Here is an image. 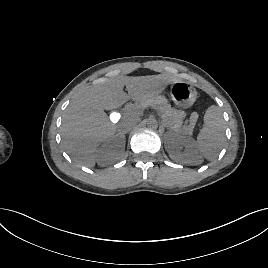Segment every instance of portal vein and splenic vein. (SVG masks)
Listing matches in <instances>:
<instances>
[{
  "label": "portal vein and splenic vein",
  "mask_w": 268,
  "mask_h": 268,
  "mask_svg": "<svg viewBox=\"0 0 268 268\" xmlns=\"http://www.w3.org/2000/svg\"><path fill=\"white\" fill-rule=\"evenodd\" d=\"M112 117H113V121L117 122L118 119H117L116 115L113 114Z\"/></svg>",
  "instance_id": "1"
}]
</instances>
